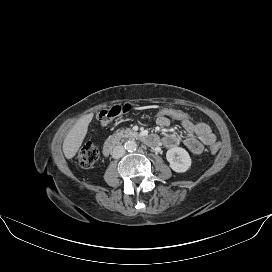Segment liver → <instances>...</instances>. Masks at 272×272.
<instances>
[{
    "label": "liver",
    "mask_w": 272,
    "mask_h": 272,
    "mask_svg": "<svg viewBox=\"0 0 272 272\" xmlns=\"http://www.w3.org/2000/svg\"><path fill=\"white\" fill-rule=\"evenodd\" d=\"M92 118V114L83 116L69 130L63 142V153L67 159H71L76 155L86 136Z\"/></svg>",
    "instance_id": "6515ba94"
}]
</instances>
